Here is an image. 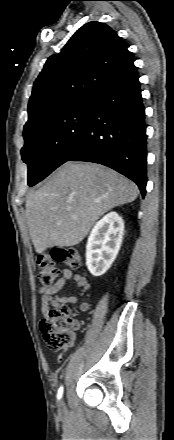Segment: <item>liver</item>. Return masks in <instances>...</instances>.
<instances>
[{
	"label": "liver",
	"mask_w": 174,
	"mask_h": 440,
	"mask_svg": "<svg viewBox=\"0 0 174 440\" xmlns=\"http://www.w3.org/2000/svg\"><path fill=\"white\" fill-rule=\"evenodd\" d=\"M136 185L95 163L66 162L26 199V221L37 253L79 244L112 208L134 201Z\"/></svg>",
	"instance_id": "1"
}]
</instances>
